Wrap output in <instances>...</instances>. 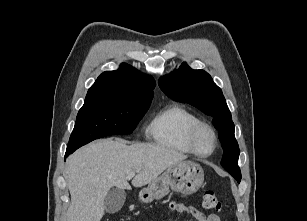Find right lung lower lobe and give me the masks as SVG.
Segmentation results:
<instances>
[{"label":"right lung lower lobe","instance_id":"1","mask_svg":"<svg viewBox=\"0 0 307 221\" xmlns=\"http://www.w3.org/2000/svg\"><path fill=\"white\" fill-rule=\"evenodd\" d=\"M69 154H65V157H67Z\"/></svg>","mask_w":307,"mask_h":221}]
</instances>
